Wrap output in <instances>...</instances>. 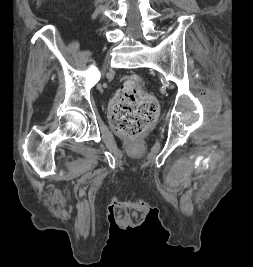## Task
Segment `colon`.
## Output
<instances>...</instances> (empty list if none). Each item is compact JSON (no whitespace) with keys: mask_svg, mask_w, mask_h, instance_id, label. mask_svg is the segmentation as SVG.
<instances>
[{"mask_svg":"<svg viewBox=\"0 0 253 267\" xmlns=\"http://www.w3.org/2000/svg\"><path fill=\"white\" fill-rule=\"evenodd\" d=\"M141 85L140 76H125L110 105L112 128L131 141H136L147 130L158 111L157 100Z\"/></svg>","mask_w":253,"mask_h":267,"instance_id":"obj_1","label":"colon"}]
</instances>
